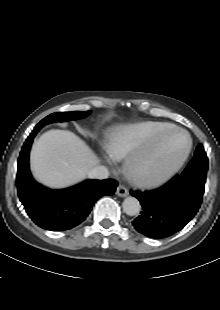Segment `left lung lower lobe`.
<instances>
[{"instance_id": "left-lung-lower-lobe-1", "label": "left lung lower lobe", "mask_w": 220, "mask_h": 310, "mask_svg": "<svg viewBox=\"0 0 220 310\" xmlns=\"http://www.w3.org/2000/svg\"><path fill=\"white\" fill-rule=\"evenodd\" d=\"M206 177L176 175L164 186L144 193L131 191L142 207L132 222L143 235L166 238L180 231L198 212Z\"/></svg>"}]
</instances>
